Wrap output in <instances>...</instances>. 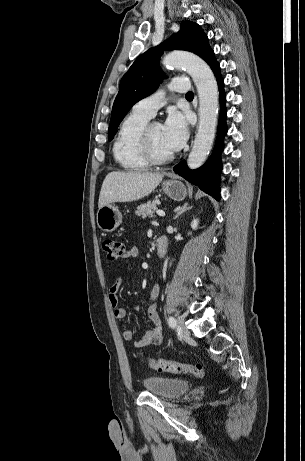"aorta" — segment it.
Masks as SVG:
<instances>
[{
  "instance_id": "obj_1",
  "label": "aorta",
  "mask_w": 305,
  "mask_h": 461,
  "mask_svg": "<svg viewBox=\"0 0 305 461\" xmlns=\"http://www.w3.org/2000/svg\"><path fill=\"white\" fill-rule=\"evenodd\" d=\"M167 68H185L192 77L199 96V127L187 164L200 167L212 149L219 110L218 87L214 74L205 61L190 53L175 51L163 59Z\"/></svg>"
}]
</instances>
